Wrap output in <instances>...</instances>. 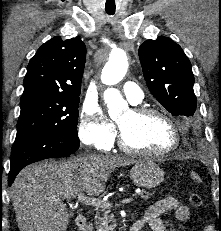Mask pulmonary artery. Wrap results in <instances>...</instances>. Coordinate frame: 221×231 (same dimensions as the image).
<instances>
[{
    "label": "pulmonary artery",
    "mask_w": 221,
    "mask_h": 231,
    "mask_svg": "<svg viewBox=\"0 0 221 231\" xmlns=\"http://www.w3.org/2000/svg\"><path fill=\"white\" fill-rule=\"evenodd\" d=\"M122 90H123L126 98L132 104H138L144 98V94H143L142 90L140 89V87L136 83L129 82V81L125 82L122 86Z\"/></svg>",
    "instance_id": "pulmonary-artery-1"
}]
</instances>
